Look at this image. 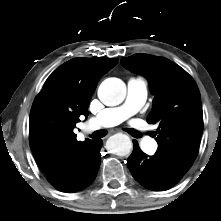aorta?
<instances>
[{"mask_svg":"<svg viewBox=\"0 0 221 221\" xmlns=\"http://www.w3.org/2000/svg\"><path fill=\"white\" fill-rule=\"evenodd\" d=\"M125 96L126 85L118 78H107L98 88V97L100 101L107 106L119 105L123 102ZM107 147L116 155L126 156L131 151L132 143L127 135L118 133L108 139Z\"/></svg>","mask_w":221,"mask_h":221,"instance_id":"obj_1","label":"aorta"}]
</instances>
